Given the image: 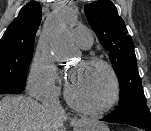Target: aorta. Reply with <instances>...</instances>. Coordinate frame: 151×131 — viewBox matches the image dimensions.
<instances>
[{"label":"aorta","mask_w":151,"mask_h":131,"mask_svg":"<svg viewBox=\"0 0 151 131\" xmlns=\"http://www.w3.org/2000/svg\"><path fill=\"white\" fill-rule=\"evenodd\" d=\"M74 20V14L68 8H62L52 16L46 27V35L59 59H71L76 53L67 36V30Z\"/></svg>","instance_id":"762f6f07"}]
</instances>
